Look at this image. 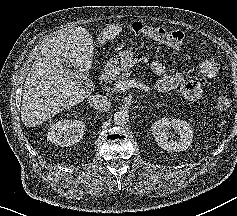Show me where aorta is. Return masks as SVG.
Returning <instances> with one entry per match:
<instances>
[{"instance_id":"aorta-1","label":"aorta","mask_w":237,"mask_h":216,"mask_svg":"<svg viewBox=\"0 0 237 216\" xmlns=\"http://www.w3.org/2000/svg\"><path fill=\"white\" fill-rule=\"evenodd\" d=\"M130 116L124 110L117 111L113 116L114 124L117 126H125L129 122Z\"/></svg>"}]
</instances>
